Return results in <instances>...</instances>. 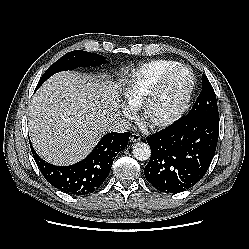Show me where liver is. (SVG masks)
<instances>
[{
	"instance_id": "obj_1",
	"label": "liver",
	"mask_w": 249,
	"mask_h": 249,
	"mask_svg": "<svg viewBox=\"0 0 249 249\" xmlns=\"http://www.w3.org/2000/svg\"><path fill=\"white\" fill-rule=\"evenodd\" d=\"M118 87L104 77L70 71L48 79L29 106L30 138L39 156L56 165L86 157L117 115Z\"/></svg>"
}]
</instances>
